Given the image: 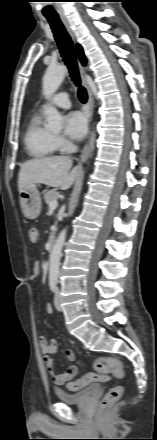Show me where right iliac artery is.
Wrapping results in <instances>:
<instances>
[{
	"instance_id": "obj_1",
	"label": "right iliac artery",
	"mask_w": 157,
	"mask_h": 440,
	"mask_svg": "<svg viewBox=\"0 0 157 440\" xmlns=\"http://www.w3.org/2000/svg\"><path fill=\"white\" fill-rule=\"evenodd\" d=\"M50 289L52 292H56V283L55 282L50 283Z\"/></svg>"
}]
</instances>
